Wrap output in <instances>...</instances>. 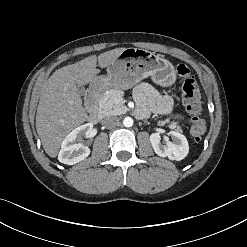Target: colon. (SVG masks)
I'll list each match as a JSON object with an SVG mask.
<instances>
[{"instance_id": "1", "label": "colon", "mask_w": 247, "mask_h": 247, "mask_svg": "<svg viewBox=\"0 0 247 247\" xmlns=\"http://www.w3.org/2000/svg\"><path fill=\"white\" fill-rule=\"evenodd\" d=\"M177 74L182 78V96L187 111L192 115L191 137L194 141H200L205 133V121L201 117L202 104L200 91L196 80L184 64L176 66Z\"/></svg>"}]
</instances>
